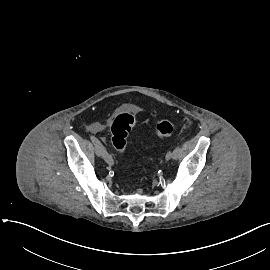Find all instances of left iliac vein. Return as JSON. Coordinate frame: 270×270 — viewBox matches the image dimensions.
Wrapping results in <instances>:
<instances>
[{
	"instance_id": "1",
	"label": "left iliac vein",
	"mask_w": 270,
	"mask_h": 270,
	"mask_svg": "<svg viewBox=\"0 0 270 270\" xmlns=\"http://www.w3.org/2000/svg\"><path fill=\"white\" fill-rule=\"evenodd\" d=\"M173 152L169 151L166 156H165V160L168 161L172 158Z\"/></svg>"
}]
</instances>
